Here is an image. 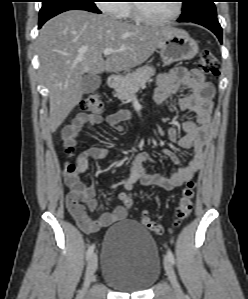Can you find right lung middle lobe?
Returning <instances> with one entry per match:
<instances>
[{
	"label": "right lung middle lobe",
	"instance_id": "obj_1",
	"mask_svg": "<svg viewBox=\"0 0 248 299\" xmlns=\"http://www.w3.org/2000/svg\"><path fill=\"white\" fill-rule=\"evenodd\" d=\"M73 9L101 13L94 4V0H42L39 22L48 20L61 12Z\"/></svg>",
	"mask_w": 248,
	"mask_h": 299
}]
</instances>
